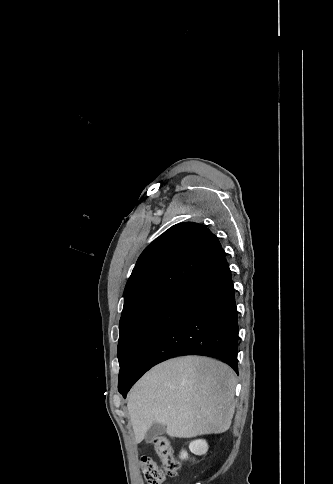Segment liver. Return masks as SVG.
I'll list each match as a JSON object with an SVG mask.
<instances>
[{
  "label": "liver",
  "instance_id": "liver-1",
  "mask_svg": "<svg viewBox=\"0 0 333 484\" xmlns=\"http://www.w3.org/2000/svg\"><path fill=\"white\" fill-rule=\"evenodd\" d=\"M235 374L206 357L168 360L147 372L130 390L127 409L140 443L153 423L171 437L191 438L227 431L234 415Z\"/></svg>",
  "mask_w": 333,
  "mask_h": 484
}]
</instances>
